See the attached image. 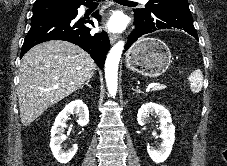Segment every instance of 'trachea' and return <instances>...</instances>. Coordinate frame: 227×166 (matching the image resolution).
<instances>
[{
	"label": "trachea",
	"mask_w": 227,
	"mask_h": 166,
	"mask_svg": "<svg viewBox=\"0 0 227 166\" xmlns=\"http://www.w3.org/2000/svg\"><path fill=\"white\" fill-rule=\"evenodd\" d=\"M114 1L120 4H135V2L126 1V0H114Z\"/></svg>",
	"instance_id": "trachea-1"
}]
</instances>
